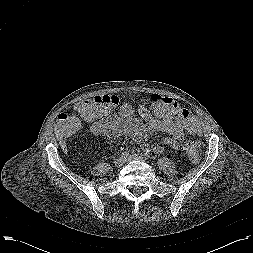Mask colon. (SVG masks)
<instances>
[{
	"label": "colon",
	"instance_id": "obj_1",
	"mask_svg": "<svg viewBox=\"0 0 253 253\" xmlns=\"http://www.w3.org/2000/svg\"><path fill=\"white\" fill-rule=\"evenodd\" d=\"M148 102L149 108H144L145 117L173 119L188 131L197 130L199 125L197 118L188 109L181 108L173 98L153 94L149 97ZM120 105H122V100L118 96L110 94L97 95L83 100L75 104L71 112L61 113L58 116L59 129L63 135L72 136L78 131L82 120H94ZM201 146L200 141L187 140L183 150L188 158L195 162L198 160Z\"/></svg>",
	"mask_w": 253,
	"mask_h": 253
}]
</instances>
